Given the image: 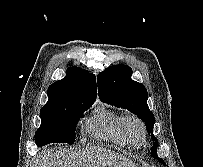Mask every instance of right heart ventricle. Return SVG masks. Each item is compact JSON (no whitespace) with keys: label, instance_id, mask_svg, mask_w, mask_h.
Returning <instances> with one entry per match:
<instances>
[{"label":"right heart ventricle","instance_id":"right-heart-ventricle-1","mask_svg":"<svg viewBox=\"0 0 203 167\" xmlns=\"http://www.w3.org/2000/svg\"><path fill=\"white\" fill-rule=\"evenodd\" d=\"M124 117L121 113L101 106L86 120L85 129L95 137L110 140L122 146H130L122 129Z\"/></svg>","mask_w":203,"mask_h":167}]
</instances>
